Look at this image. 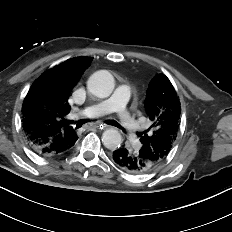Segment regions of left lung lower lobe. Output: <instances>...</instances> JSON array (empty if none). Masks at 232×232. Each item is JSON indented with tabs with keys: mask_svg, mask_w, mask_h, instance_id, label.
Masks as SVG:
<instances>
[{
	"mask_svg": "<svg viewBox=\"0 0 232 232\" xmlns=\"http://www.w3.org/2000/svg\"><path fill=\"white\" fill-rule=\"evenodd\" d=\"M114 164L131 174H144L152 171L157 165L146 159L142 152H132L126 148H119L112 154Z\"/></svg>",
	"mask_w": 232,
	"mask_h": 232,
	"instance_id": "left-lung-lower-lobe-1",
	"label": "left lung lower lobe"
}]
</instances>
